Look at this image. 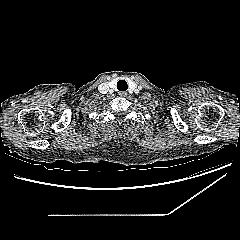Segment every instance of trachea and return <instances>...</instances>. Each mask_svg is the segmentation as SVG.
<instances>
[{
	"label": "trachea",
	"instance_id": "trachea-1",
	"mask_svg": "<svg viewBox=\"0 0 240 240\" xmlns=\"http://www.w3.org/2000/svg\"><path fill=\"white\" fill-rule=\"evenodd\" d=\"M117 88H118L120 91H125V90H127V82L124 81V80H120V81L117 83Z\"/></svg>",
	"mask_w": 240,
	"mask_h": 240
}]
</instances>
